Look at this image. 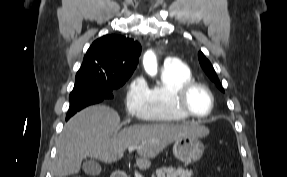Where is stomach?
Returning a JSON list of instances; mask_svg holds the SVG:
<instances>
[{"label": "stomach", "mask_w": 287, "mask_h": 177, "mask_svg": "<svg viewBox=\"0 0 287 177\" xmlns=\"http://www.w3.org/2000/svg\"><path fill=\"white\" fill-rule=\"evenodd\" d=\"M204 152V145L198 136H184L177 139L173 146L175 157L185 164L197 162Z\"/></svg>", "instance_id": "1"}]
</instances>
